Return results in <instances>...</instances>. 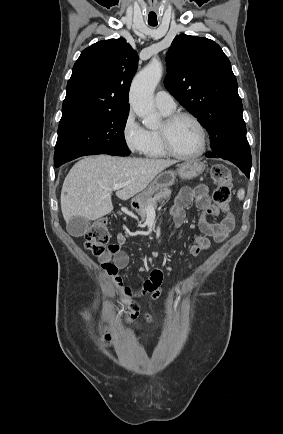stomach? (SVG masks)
<instances>
[{
  "label": "stomach",
  "mask_w": 283,
  "mask_h": 434,
  "mask_svg": "<svg viewBox=\"0 0 283 434\" xmlns=\"http://www.w3.org/2000/svg\"><path fill=\"white\" fill-rule=\"evenodd\" d=\"M204 169L205 165L202 162L188 161L178 165L176 171H163L154 179L148 188L135 196L132 201L138 206L144 205L154 194L171 186L177 174L181 179L190 180L200 175Z\"/></svg>",
  "instance_id": "1"
}]
</instances>
